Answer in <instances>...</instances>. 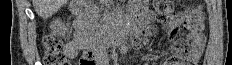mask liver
<instances>
[{
	"label": "liver",
	"instance_id": "6515ba94",
	"mask_svg": "<svg viewBox=\"0 0 232 65\" xmlns=\"http://www.w3.org/2000/svg\"><path fill=\"white\" fill-rule=\"evenodd\" d=\"M68 0H32L36 13L46 19L57 12Z\"/></svg>",
	"mask_w": 232,
	"mask_h": 65
}]
</instances>
